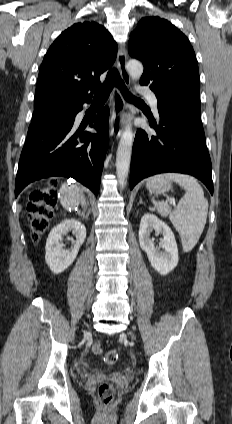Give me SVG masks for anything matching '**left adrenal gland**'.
<instances>
[{"label": "left adrenal gland", "mask_w": 232, "mask_h": 424, "mask_svg": "<svg viewBox=\"0 0 232 424\" xmlns=\"http://www.w3.org/2000/svg\"><path fill=\"white\" fill-rule=\"evenodd\" d=\"M141 204H143L142 198H140V201H139L138 205H141Z\"/></svg>", "instance_id": "obj_1"}]
</instances>
